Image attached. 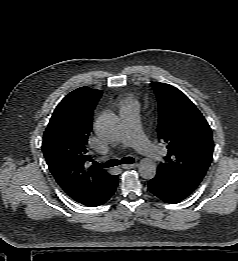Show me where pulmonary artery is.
<instances>
[{"label":"pulmonary artery","mask_w":238,"mask_h":261,"mask_svg":"<svg viewBox=\"0 0 238 261\" xmlns=\"http://www.w3.org/2000/svg\"><path fill=\"white\" fill-rule=\"evenodd\" d=\"M120 118L122 123V146L134 147L141 154L153 160H159L162 156L161 151L144 135L141 128L138 107L135 104L122 107Z\"/></svg>","instance_id":"obj_1"}]
</instances>
